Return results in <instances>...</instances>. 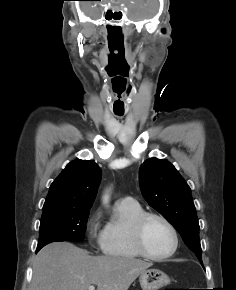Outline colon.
I'll list each match as a JSON object with an SVG mask.
<instances>
[{"label": "colon", "instance_id": "obj_1", "mask_svg": "<svg viewBox=\"0 0 236 290\" xmlns=\"http://www.w3.org/2000/svg\"><path fill=\"white\" fill-rule=\"evenodd\" d=\"M164 290H177V289H170V288H166V289H164Z\"/></svg>", "mask_w": 236, "mask_h": 290}]
</instances>
